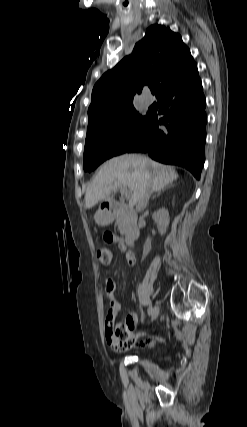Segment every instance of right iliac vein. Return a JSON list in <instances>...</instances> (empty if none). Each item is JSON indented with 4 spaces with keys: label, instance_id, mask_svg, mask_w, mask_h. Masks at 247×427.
<instances>
[{
    "label": "right iliac vein",
    "instance_id": "right-iliac-vein-1",
    "mask_svg": "<svg viewBox=\"0 0 247 427\" xmlns=\"http://www.w3.org/2000/svg\"><path fill=\"white\" fill-rule=\"evenodd\" d=\"M150 315H151L152 321L155 320L158 317V315H159V308L157 306H155L152 309V313Z\"/></svg>",
    "mask_w": 247,
    "mask_h": 427
}]
</instances>
